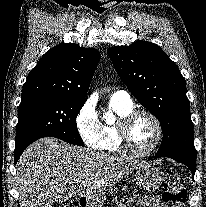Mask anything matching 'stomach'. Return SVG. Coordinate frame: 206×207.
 <instances>
[{
    "label": "stomach",
    "mask_w": 206,
    "mask_h": 207,
    "mask_svg": "<svg viewBox=\"0 0 206 207\" xmlns=\"http://www.w3.org/2000/svg\"><path fill=\"white\" fill-rule=\"evenodd\" d=\"M135 179L138 186L146 191L158 189L165 180L164 173L148 162H142L136 167Z\"/></svg>",
    "instance_id": "0dacf381"
}]
</instances>
